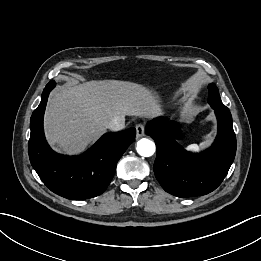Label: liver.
<instances>
[{
	"label": "liver",
	"mask_w": 261,
	"mask_h": 261,
	"mask_svg": "<svg viewBox=\"0 0 261 261\" xmlns=\"http://www.w3.org/2000/svg\"><path fill=\"white\" fill-rule=\"evenodd\" d=\"M162 114L148 88L118 80H92L62 86L49 100L44 126L48 142L78 154L99 138L115 116L152 118Z\"/></svg>",
	"instance_id": "liver-1"
}]
</instances>
